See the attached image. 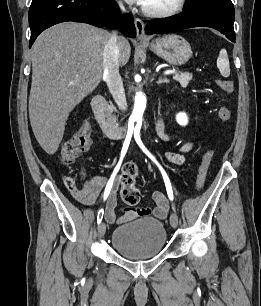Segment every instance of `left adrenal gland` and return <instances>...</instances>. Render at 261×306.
Returning <instances> with one entry per match:
<instances>
[{
  "instance_id": "a2214340",
  "label": "left adrenal gland",
  "mask_w": 261,
  "mask_h": 306,
  "mask_svg": "<svg viewBox=\"0 0 261 306\" xmlns=\"http://www.w3.org/2000/svg\"><path fill=\"white\" fill-rule=\"evenodd\" d=\"M158 84H163V83H169V80L167 78H160L158 81H157Z\"/></svg>"
}]
</instances>
